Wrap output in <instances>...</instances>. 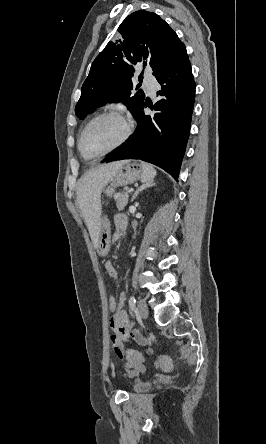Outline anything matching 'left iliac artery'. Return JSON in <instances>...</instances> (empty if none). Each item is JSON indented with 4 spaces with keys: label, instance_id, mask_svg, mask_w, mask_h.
<instances>
[{
    "label": "left iliac artery",
    "instance_id": "left-iliac-artery-1",
    "mask_svg": "<svg viewBox=\"0 0 266 444\" xmlns=\"http://www.w3.org/2000/svg\"><path fill=\"white\" fill-rule=\"evenodd\" d=\"M135 303H136V300H135L134 296H131L129 299V306H130L131 311H133V309L135 307Z\"/></svg>",
    "mask_w": 266,
    "mask_h": 444
}]
</instances>
